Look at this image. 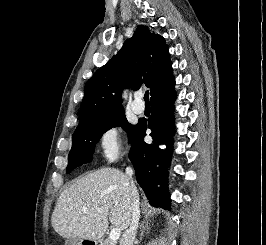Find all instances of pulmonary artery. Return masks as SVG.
<instances>
[{
	"instance_id": "e3ab8cb5",
	"label": "pulmonary artery",
	"mask_w": 266,
	"mask_h": 245,
	"mask_svg": "<svg viewBox=\"0 0 266 245\" xmlns=\"http://www.w3.org/2000/svg\"><path fill=\"white\" fill-rule=\"evenodd\" d=\"M131 108L136 114H142L145 110V105L142 103V94L138 93L131 103Z\"/></svg>"
}]
</instances>
